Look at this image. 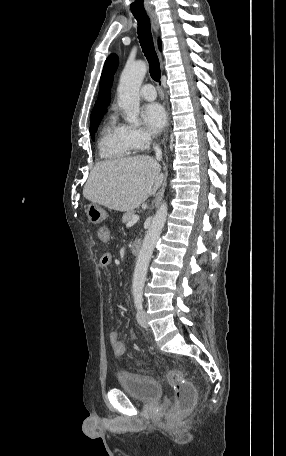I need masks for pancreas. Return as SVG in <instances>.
Returning a JSON list of instances; mask_svg holds the SVG:
<instances>
[{
  "label": "pancreas",
  "instance_id": "pancreas-1",
  "mask_svg": "<svg viewBox=\"0 0 286 456\" xmlns=\"http://www.w3.org/2000/svg\"><path fill=\"white\" fill-rule=\"evenodd\" d=\"M133 215H135V211L134 210L128 211L125 214H123L122 223H128L131 220Z\"/></svg>",
  "mask_w": 286,
  "mask_h": 456
}]
</instances>
